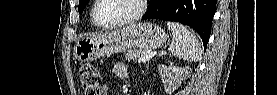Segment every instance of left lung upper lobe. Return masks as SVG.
Returning a JSON list of instances; mask_svg holds the SVG:
<instances>
[{
  "mask_svg": "<svg viewBox=\"0 0 277 95\" xmlns=\"http://www.w3.org/2000/svg\"><path fill=\"white\" fill-rule=\"evenodd\" d=\"M151 1H150V3H151ZM88 2H89V0H79V7H78L79 14H81L83 12V10Z\"/></svg>",
  "mask_w": 277,
  "mask_h": 95,
  "instance_id": "5c2ea615",
  "label": "left lung upper lobe"
}]
</instances>
